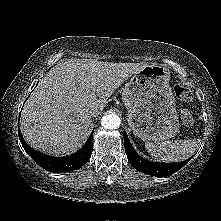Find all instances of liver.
<instances>
[{"label": "liver", "mask_w": 221, "mask_h": 221, "mask_svg": "<svg viewBox=\"0 0 221 221\" xmlns=\"http://www.w3.org/2000/svg\"><path fill=\"white\" fill-rule=\"evenodd\" d=\"M145 66L87 59L57 64L23 107L20 129L25 141L54 156L76 151L91 125L90 111H102L115 89Z\"/></svg>", "instance_id": "1"}]
</instances>
